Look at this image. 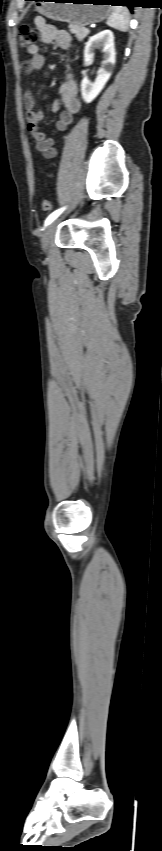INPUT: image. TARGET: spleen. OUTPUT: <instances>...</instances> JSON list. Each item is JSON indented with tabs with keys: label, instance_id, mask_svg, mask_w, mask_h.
<instances>
[{
	"label": "spleen",
	"instance_id": "3e777b00",
	"mask_svg": "<svg viewBox=\"0 0 162 851\" xmlns=\"http://www.w3.org/2000/svg\"><path fill=\"white\" fill-rule=\"evenodd\" d=\"M129 22V11L126 7H111V15L107 19V25L119 31H127Z\"/></svg>",
	"mask_w": 162,
	"mask_h": 851
}]
</instances>
